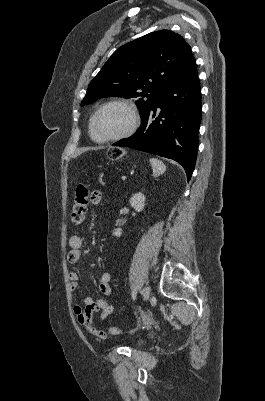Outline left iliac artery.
I'll use <instances>...</instances> for the list:
<instances>
[{
    "label": "left iliac artery",
    "instance_id": "left-iliac-artery-1",
    "mask_svg": "<svg viewBox=\"0 0 265 401\" xmlns=\"http://www.w3.org/2000/svg\"><path fill=\"white\" fill-rule=\"evenodd\" d=\"M137 289H138V288H135V289L132 291V298H133V299L136 298Z\"/></svg>",
    "mask_w": 265,
    "mask_h": 401
}]
</instances>
